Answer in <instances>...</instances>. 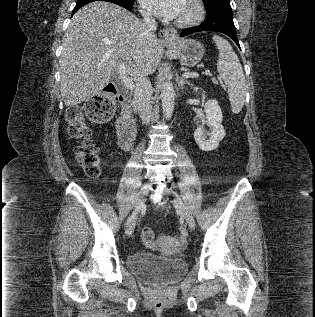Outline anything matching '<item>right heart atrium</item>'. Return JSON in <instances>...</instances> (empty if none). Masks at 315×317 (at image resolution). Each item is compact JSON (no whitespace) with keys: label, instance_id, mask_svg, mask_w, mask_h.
Listing matches in <instances>:
<instances>
[{"label":"right heart atrium","instance_id":"1","mask_svg":"<svg viewBox=\"0 0 315 317\" xmlns=\"http://www.w3.org/2000/svg\"><path fill=\"white\" fill-rule=\"evenodd\" d=\"M142 13H143L145 16H148V12H146L145 10H142Z\"/></svg>","mask_w":315,"mask_h":317}]
</instances>
